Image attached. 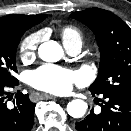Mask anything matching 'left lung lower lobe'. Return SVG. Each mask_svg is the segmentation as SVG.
Wrapping results in <instances>:
<instances>
[{
  "instance_id": "left-lung-lower-lobe-1",
  "label": "left lung lower lobe",
  "mask_w": 131,
  "mask_h": 131,
  "mask_svg": "<svg viewBox=\"0 0 131 131\" xmlns=\"http://www.w3.org/2000/svg\"><path fill=\"white\" fill-rule=\"evenodd\" d=\"M92 93V92H91ZM95 96L94 93H92ZM101 112L76 122L77 131H131V96L103 93Z\"/></svg>"
}]
</instances>
